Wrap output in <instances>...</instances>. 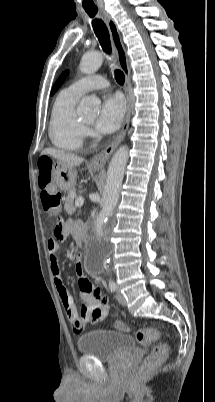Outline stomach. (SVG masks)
<instances>
[{"label": "stomach", "instance_id": "0dacf381", "mask_svg": "<svg viewBox=\"0 0 215 402\" xmlns=\"http://www.w3.org/2000/svg\"><path fill=\"white\" fill-rule=\"evenodd\" d=\"M92 170L97 171L98 168L94 167ZM51 176L59 189L69 191L76 184L77 170L61 161H56L52 163Z\"/></svg>", "mask_w": 215, "mask_h": 402}]
</instances>
